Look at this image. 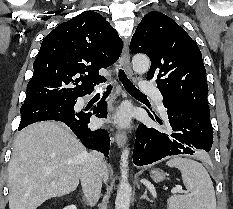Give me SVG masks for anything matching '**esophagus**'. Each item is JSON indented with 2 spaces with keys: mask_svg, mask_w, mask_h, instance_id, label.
Instances as JSON below:
<instances>
[{
  "mask_svg": "<svg viewBox=\"0 0 233 209\" xmlns=\"http://www.w3.org/2000/svg\"><path fill=\"white\" fill-rule=\"evenodd\" d=\"M121 63L123 66V69L125 73L131 77L133 75L131 64H130V54H129V47H128V41H125L122 57H121ZM115 141L119 148H122L124 144L127 141V134L125 131L118 129L115 133Z\"/></svg>",
  "mask_w": 233,
  "mask_h": 209,
  "instance_id": "1",
  "label": "esophagus"
}]
</instances>
